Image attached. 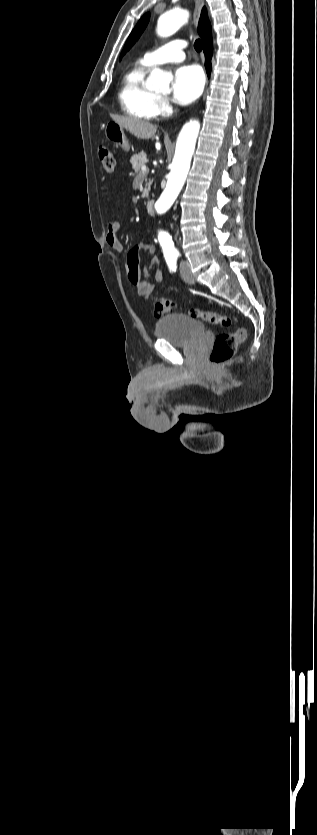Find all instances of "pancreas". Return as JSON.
I'll list each match as a JSON object with an SVG mask.
<instances>
[{"mask_svg":"<svg viewBox=\"0 0 317 835\" xmlns=\"http://www.w3.org/2000/svg\"><path fill=\"white\" fill-rule=\"evenodd\" d=\"M147 161H148V159H147V156H146L145 152H141L139 154L133 155L131 160H130V162L132 164V168L135 171V173L141 174L142 176H146V174H147V171L144 172V171L140 170L141 167L143 165H145V163ZM146 186H147V188H145V190L142 192V195H141L142 198L148 197L150 183H148Z\"/></svg>","mask_w":317,"mask_h":835,"instance_id":"obj_1","label":"pancreas"}]
</instances>
